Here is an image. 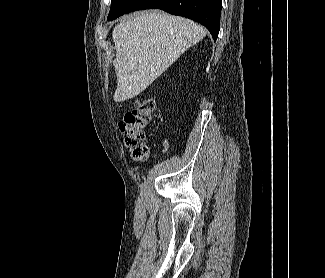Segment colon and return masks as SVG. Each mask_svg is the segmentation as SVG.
I'll return each instance as SVG.
<instances>
[{
    "instance_id": "colon-1",
    "label": "colon",
    "mask_w": 325,
    "mask_h": 278,
    "mask_svg": "<svg viewBox=\"0 0 325 278\" xmlns=\"http://www.w3.org/2000/svg\"><path fill=\"white\" fill-rule=\"evenodd\" d=\"M155 109L156 102L153 98H138L119 122V129L124 135L125 144L130 148L132 158L137 162L145 161L149 154L144 141L146 129L153 119Z\"/></svg>"
}]
</instances>
